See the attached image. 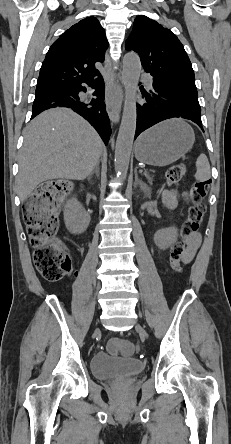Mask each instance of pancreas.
Instances as JSON below:
<instances>
[{
    "instance_id": "pancreas-1",
    "label": "pancreas",
    "mask_w": 231,
    "mask_h": 444,
    "mask_svg": "<svg viewBox=\"0 0 231 444\" xmlns=\"http://www.w3.org/2000/svg\"><path fill=\"white\" fill-rule=\"evenodd\" d=\"M153 171L152 170H145L143 175L146 177V179L150 182L153 181V175H152Z\"/></svg>"
}]
</instances>
